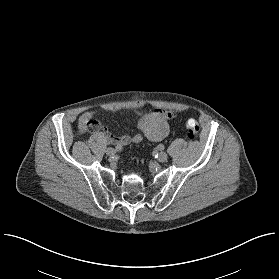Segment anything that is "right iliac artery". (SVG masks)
Listing matches in <instances>:
<instances>
[{
  "mask_svg": "<svg viewBox=\"0 0 279 279\" xmlns=\"http://www.w3.org/2000/svg\"><path fill=\"white\" fill-rule=\"evenodd\" d=\"M121 150H122V146H116V147H115V151H116V152H119V151H121Z\"/></svg>",
  "mask_w": 279,
  "mask_h": 279,
  "instance_id": "right-iliac-artery-1",
  "label": "right iliac artery"
}]
</instances>
